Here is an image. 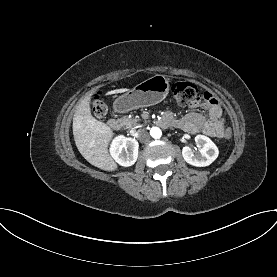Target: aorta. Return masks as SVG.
I'll list each match as a JSON object with an SVG mask.
<instances>
[{"instance_id": "obj_1", "label": "aorta", "mask_w": 277, "mask_h": 277, "mask_svg": "<svg viewBox=\"0 0 277 277\" xmlns=\"http://www.w3.org/2000/svg\"><path fill=\"white\" fill-rule=\"evenodd\" d=\"M150 134L153 138H160L162 135V131L158 127H153L150 129Z\"/></svg>"}]
</instances>
